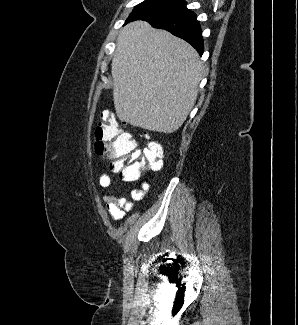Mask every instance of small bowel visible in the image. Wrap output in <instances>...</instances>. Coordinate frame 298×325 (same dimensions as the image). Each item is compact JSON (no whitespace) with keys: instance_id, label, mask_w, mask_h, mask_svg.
<instances>
[{"instance_id":"obj_1","label":"small bowel","mask_w":298,"mask_h":325,"mask_svg":"<svg viewBox=\"0 0 298 325\" xmlns=\"http://www.w3.org/2000/svg\"><path fill=\"white\" fill-rule=\"evenodd\" d=\"M99 185L102 188H110L112 185V178L108 173H101L99 176ZM150 188L147 181H142L140 186L135 188L131 197L133 201H141L145 198ZM107 211L117 221L122 220L126 213L134 208V202L114 193H106L104 195Z\"/></svg>"}]
</instances>
